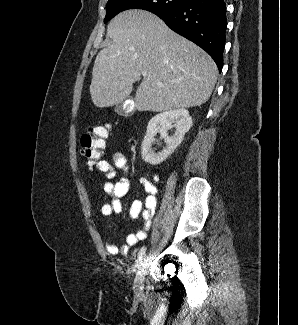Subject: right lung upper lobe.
I'll use <instances>...</instances> for the list:
<instances>
[{
    "label": "right lung upper lobe",
    "mask_w": 298,
    "mask_h": 325,
    "mask_svg": "<svg viewBox=\"0 0 298 325\" xmlns=\"http://www.w3.org/2000/svg\"><path fill=\"white\" fill-rule=\"evenodd\" d=\"M110 1H113V0H109L108 2H110ZM158 12H160V11H157L156 13H158Z\"/></svg>",
    "instance_id": "right-lung-upper-lobe-1"
}]
</instances>
